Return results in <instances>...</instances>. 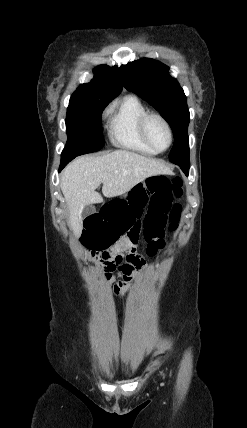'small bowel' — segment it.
I'll list each match as a JSON object with an SVG mask.
<instances>
[{
	"instance_id": "1",
	"label": "small bowel",
	"mask_w": 247,
	"mask_h": 428,
	"mask_svg": "<svg viewBox=\"0 0 247 428\" xmlns=\"http://www.w3.org/2000/svg\"><path fill=\"white\" fill-rule=\"evenodd\" d=\"M134 245L128 238L121 239L116 246L113 247L114 257L121 259L119 269L121 273V280L114 283L113 293L118 301H121L125 294L131 289L134 280L138 277V271L143 268L144 264L140 267H135L134 264L130 261L126 263L122 262V256L126 252H130L132 248H135Z\"/></svg>"
}]
</instances>
